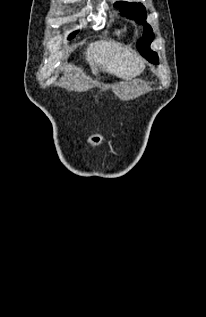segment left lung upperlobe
I'll list each match as a JSON object with an SVG mask.
<instances>
[{
    "instance_id": "5c2ea615",
    "label": "left lung upper lobe",
    "mask_w": 206,
    "mask_h": 317,
    "mask_svg": "<svg viewBox=\"0 0 206 317\" xmlns=\"http://www.w3.org/2000/svg\"><path fill=\"white\" fill-rule=\"evenodd\" d=\"M114 5L120 7L123 14L128 15L130 18L135 19L139 24L144 25V34L143 37L138 41L137 48L142 56L157 64L158 56L150 49V43L154 39V33L151 26L146 22L147 12L143 4L120 1L116 2Z\"/></svg>"
}]
</instances>
